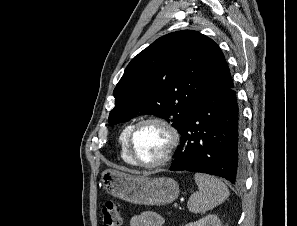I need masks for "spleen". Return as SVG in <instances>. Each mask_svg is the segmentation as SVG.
Instances as JSON below:
<instances>
[{"label": "spleen", "mask_w": 297, "mask_h": 226, "mask_svg": "<svg viewBox=\"0 0 297 226\" xmlns=\"http://www.w3.org/2000/svg\"><path fill=\"white\" fill-rule=\"evenodd\" d=\"M195 182L199 191L193 193L187 203V207L192 213H204L221 204L229 196L226 185L218 178L196 173Z\"/></svg>", "instance_id": "spleen-1"}]
</instances>
